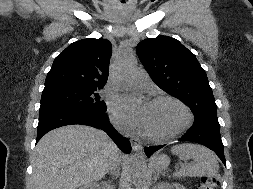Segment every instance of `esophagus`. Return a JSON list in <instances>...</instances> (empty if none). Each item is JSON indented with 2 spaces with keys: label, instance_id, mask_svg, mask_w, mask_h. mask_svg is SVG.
Instances as JSON below:
<instances>
[{
  "label": "esophagus",
  "instance_id": "34e87169",
  "mask_svg": "<svg viewBox=\"0 0 253 189\" xmlns=\"http://www.w3.org/2000/svg\"><path fill=\"white\" fill-rule=\"evenodd\" d=\"M130 141L133 151H138L141 148V142L138 138L132 137Z\"/></svg>",
  "mask_w": 253,
  "mask_h": 189
}]
</instances>
